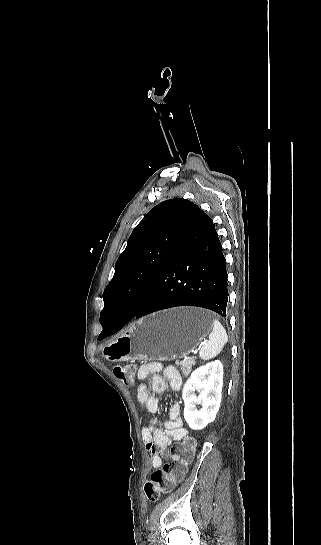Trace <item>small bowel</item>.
I'll return each instance as SVG.
<instances>
[{
  "label": "small bowel",
  "instance_id": "1",
  "mask_svg": "<svg viewBox=\"0 0 321 545\" xmlns=\"http://www.w3.org/2000/svg\"><path fill=\"white\" fill-rule=\"evenodd\" d=\"M151 374H154L151 385L155 393H164L169 387L178 391L182 385V378L174 367H163L158 362L144 364L138 370L137 376L140 383L137 387V398L142 408L150 415L147 424L142 428V436L151 454V465L156 469L161 466L171 444L185 438L187 430L183 426L179 403L171 406L164 429L158 426L155 415L159 411V401L149 392L145 383Z\"/></svg>",
  "mask_w": 321,
  "mask_h": 545
}]
</instances>
